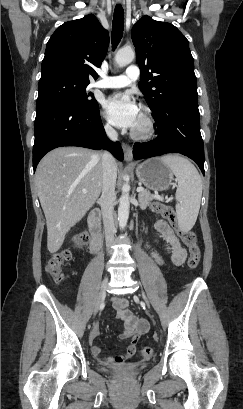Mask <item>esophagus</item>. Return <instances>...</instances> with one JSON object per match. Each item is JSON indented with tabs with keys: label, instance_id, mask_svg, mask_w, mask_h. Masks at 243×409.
I'll use <instances>...</instances> for the list:
<instances>
[{
	"label": "esophagus",
	"instance_id": "34e87169",
	"mask_svg": "<svg viewBox=\"0 0 243 409\" xmlns=\"http://www.w3.org/2000/svg\"><path fill=\"white\" fill-rule=\"evenodd\" d=\"M117 2L120 3L121 0H117ZM122 149H123V152H124L125 160L127 162H132V160H133L132 148L128 144L122 143Z\"/></svg>",
	"mask_w": 243,
	"mask_h": 409
}]
</instances>
